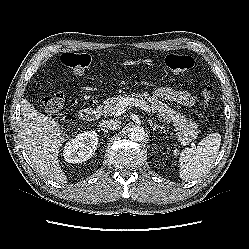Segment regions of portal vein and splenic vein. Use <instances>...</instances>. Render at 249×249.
<instances>
[{
	"label": "portal vein and splenic vein",
	"instance_id": "1",
	"mask_svg": "<svg viewBox=\"0 0 249 249\" xmlns=\"http://www.w3.org/2000/svg\"><path fill=\"white\" fill-rule=\"evenodd\" d=\"M129 105L138 106L141 109H143L144 111H146L147 113L151 112L149 105L144 100H140L137 98H127L123 101H120L116 105L117 114L120 115V114L124 113V111L126 110V107Z\"/></svg>",
	"mask_w": 249,
	"mask_h": 249
}]
</instances>
